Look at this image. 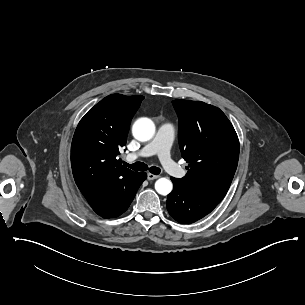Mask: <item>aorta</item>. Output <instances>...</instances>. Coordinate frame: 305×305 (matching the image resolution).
Returning <instances> with one entry per match:
<instances>
[{
    "label": "aorta",
    "mask_w": 305,
    "mask_h": 305,
    "mask_svg": "<svg viewBox=\"0 0 305 305\" xmlns=\"http://www.w3.org/2000/svg\"><path fill=\"white\" fill-rule=\"evenodd\" d=\"M132 133L138 141H148L154 136L155 125L153 121L148 118H140L134 123ZM172 189L173 184L167 178H160L155 182V190L160 195L166 196L172 191Z\"/></svg>",
    "instance_id": "1"
}]
</instances>
